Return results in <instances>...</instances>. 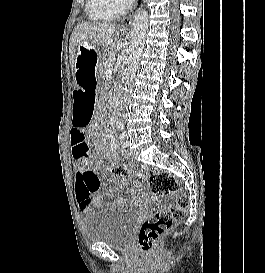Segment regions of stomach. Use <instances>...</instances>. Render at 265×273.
Instances as JSON below:
<instances>
[{
    "label": "stomach",
    "instance_id": "1",
    "mask_svg": "<svg viewBox=\"0 0 265 273\" xmlns=\"http://www.w3.org/2000/svg\"><path fill=\"white\" fill-rule=\"evenodd\" d=\"M104 49H117V44H104ZM101 58L99 49H95L88 43L78 47L75 66H76V90H96L99 85V73L96 70ZM86 79V80H84ZM88 79V80H87Z\"/></svg>",
    "mask_w": 265,
    "mask_h": 273
}]
</instances>
